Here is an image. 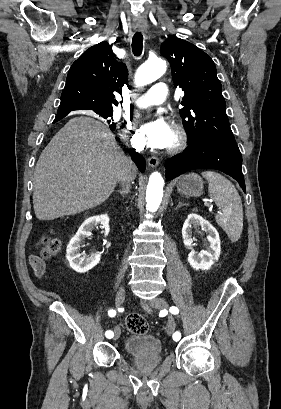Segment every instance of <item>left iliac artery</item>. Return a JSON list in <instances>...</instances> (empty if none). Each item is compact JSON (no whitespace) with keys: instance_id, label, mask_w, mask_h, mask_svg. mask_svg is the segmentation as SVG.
<instances>
[{"instance_id":"44dca946","label":"left iliac artery","mask_w":281,"mask_h":409,"mask_svg":"<svg viewBox=\"0 0 281 409\" xmlns=\"http://www.w3.org/2000/svg\"><path fill=\"white\" fill-rule=\"evenodd\" d=\"M170 312H171L172 314H178V313H179V310H178L177 307L172 306V307H170ZM180 338H181L180 332H175V333L173 334V339H174L175 341H178Z\"/></svg>"}]
</instances>
